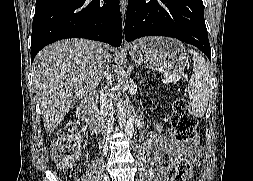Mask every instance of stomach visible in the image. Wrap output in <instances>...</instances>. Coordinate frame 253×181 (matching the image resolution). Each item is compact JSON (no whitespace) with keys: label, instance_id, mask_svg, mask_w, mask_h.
<instances>
[{"label":"stomach","instance_id":"1","mask_svg":"<svg viewBox=\"0 0 253 181\" xmlns=\"http://www.w3.org/2000/svg\"><path fill=\"white\" fill-rule=\"evenodd\" d=\"M131 58L141 66L163 72H180L188 64L182 43L168 37H145L130 47Z\"/></svg>","mask_w":253,"mask_h":181}]
</instances>
